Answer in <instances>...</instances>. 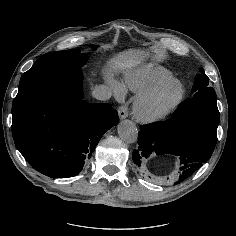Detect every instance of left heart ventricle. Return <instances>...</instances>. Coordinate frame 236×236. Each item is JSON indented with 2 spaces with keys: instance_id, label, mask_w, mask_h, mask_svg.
<instances>
[{
  "instance_id": "obj_1",
  "label": "left heart ventricle",
  "mask_w": 236,
  "mask_h": 236,
  "mask_svg": "<svg viewBox=\"0 0 236 236\" xmlns=\"http://www.w3.org/2000/svg\"><path fill=\"white\" fill-rule=\"evenodd\" d=\"M177 93L176 86H169L158 92L146 104L149 112H156L162 109Z\"/></svg>"
}]
</instances>
